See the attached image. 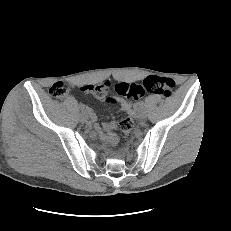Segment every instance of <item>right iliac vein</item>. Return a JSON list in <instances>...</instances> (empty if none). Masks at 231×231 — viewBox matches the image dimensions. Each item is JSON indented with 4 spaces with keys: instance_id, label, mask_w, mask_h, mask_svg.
Returning a JSON list of instances; mask_svg holds the SVG:
<instances>
[{
    "instance_id": "obj_1",
    "label": "right iliac vein",
    "mask_w": 231,
    "mask_h": 231,
    "mask_svg": "<svg viewBox=\"0 0 231 231\" xmlns=\"http://www.w3.org/2000/svg\"><path fill=\"white\" fill-rule=\"evenodd\" d=\"M80 118L83 122H88L89 120V115L87 114L86 111H82L80 114Z\"/></svg>"
}]
</instances>
